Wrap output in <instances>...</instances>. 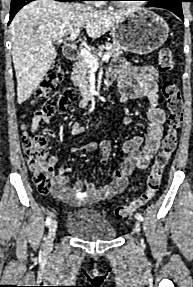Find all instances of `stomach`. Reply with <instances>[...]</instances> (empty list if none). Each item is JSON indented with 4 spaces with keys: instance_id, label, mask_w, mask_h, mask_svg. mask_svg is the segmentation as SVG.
<instances>
[{
    "instance_id": "0dacf381",
    "label": "stomach",
    "mask_w": 193,
    "mask_h": 287,
    "mask_svg": "<svg viewBox=\"0 0 193 287\" xmlns=\"http://www.w3.org/2000/svg\"><path fill=\"white\" fill-rule=\"evenodd\" d=\"M114 43L127 52L146 55L158 49L168 38L167 23L149 10L126 16L111 31Z\"/></svg>"
}]
</instances>
